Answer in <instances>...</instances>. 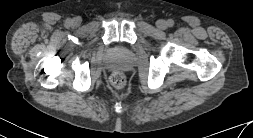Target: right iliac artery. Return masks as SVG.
I'll return each mask as SVG.
<instances>
[{
	"mask_svg": "<svg viewBox=\"0 0 253 138\" xmlns=\"http://www.w3.org/2000/svg\"><path fill=\"white\" fill-rule=\"evenodd\" d=\"M64 24H65L66 26H69V25L71 24V19H66V20L64 21Z\"/></svg>",
	"mask_w": 253,
	"mask_h": 138,
	"instance_id": "obj_1",
	"label": "right iliac artery"
}]
</instances>
